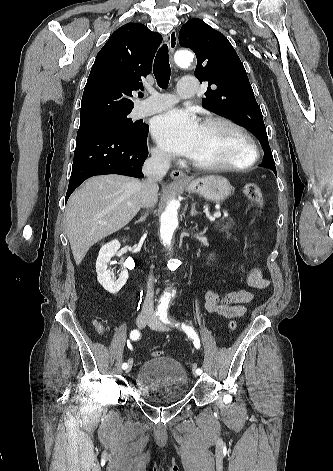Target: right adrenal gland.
I'll return each instance as SVG.
<instances>
[{
	"mask_svg": "<svg viewBox=\"0 0 333 471\" xmlns=\"http://www.w3.org/2000/svg\"><path fill=\"white\" fill-rule=\"evenodd\" d=\"M148 213H149V212L146 211V212L144 213V215L141 216V217L136 221V223H138V222H144V221L146 220L147 216H148Z\"/></svg>",
	"mask_w": 333,
	"mask_h": 471,
	"instance_id": "right-adrenal-gland-1",
	"label": "right adrenal gland"
}]
</instances>
